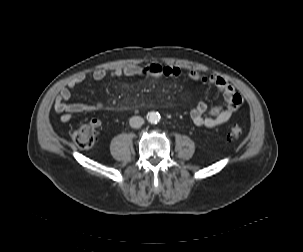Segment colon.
I'll return each mask as SVG.
<instances>
[{
    "instance_id": "colon-1",
    "label": "colon",
    "mask_w": 303,
    "mask_h": 252,
    "mask_svg": "<svg viewBox=\"0 0 303 252\" xmlns=\"http://www.w3.org/2000/svg\"><path fill=\"white\" fill-rule=\"evenodd\" d=\"M243 133L241 126L234 125L230 128L229 135L237 138ZM72 139L80 148H90L98 140V130L96 122H89L80 125L77 129L73 130Z\"/></svg>"
}]
</instances>
